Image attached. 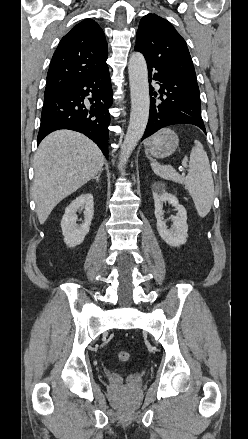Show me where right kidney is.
<instances>
[{
	"instance_id": "1",
	"label": "right kidney",
	"mask_w": 248,
	"mask_h": 439,
	"mask_svg": "<svg viewBox=\"0 0 248 439\" xmlns=\"http://www.w3.org/2000/svg\"><path fill=\"white\" fill-rule=\"evenodd\" d=\"M84 209V221L78 226L76 212ZM94 215V202L91 193L81 194L73 200L65 209V214L61 220L62 234L64 242L69 247H75L84 241L89 232L90 224Z\"/></svg>"
}]
</instances>
